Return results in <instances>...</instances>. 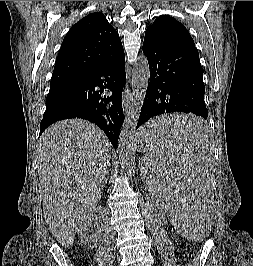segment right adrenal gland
<instances>
[{
  "instance_id": "1",
  "label": "right adrenal gland",
  "mask_w": 253,
  "mask_h": 266,
  "mask_svg": "<svg viewBox=\"0 0 253 266\" xmlns=\"http://www.w3.org/2000/svg\"><path fill=\"white\" fill-rule=\"evenodd\" d=\"M107 180H108V176H106V179H105L104 185L107 184Z\"/></svg>"
}]
</instances>
